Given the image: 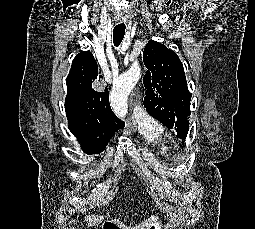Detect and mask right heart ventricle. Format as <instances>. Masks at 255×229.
I'll return each instance as SVG.
<instances>
[{"label": "right heart ventricle", "mask_w": 255, "mask_h": 229, "mask_svg": "<svg viewBox=\"0 0 255 229\" xmlns=\"http://www.w3.org/2000/svg\"><path fill=\"white\" fill-rule=\"evenodd\" d=\"M137 128L145 142L156 149V151L161 155L165 157H171L172 159H175V156H172L170 152V148L168 147L167 143L162 138V129L160 125L153 121L152 127L144 126L141 124H138L136 122Z\"/></svg>", "instance_id": "right-heart-ventricle-1"}]
</instances>
